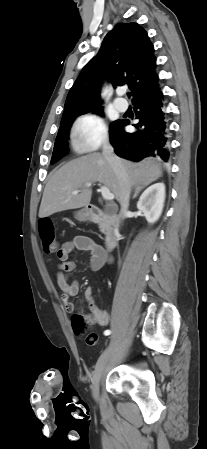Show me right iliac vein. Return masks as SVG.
Returning <instances> with one entry per match:
<instances>
[{"instance_id": "63e3f726", "label": "right iliac vein", "mask_w": 207, "mask_h": 449, "mask_svg": "<svg viewBox=\"0 0 207 449\" xmlns=\"http://www.w3.org/2000/svg\"><path fill=\"white\" fill-rule=\"evenodd\" d=\"M111 349H112V346L110 345L104 350V352L99 357V359L96 363V366H95V370H94L93 377H92V395L95 400H98V398H99V383H100L105 365L107 363V360L110 356Z\"/></svg>"}]
</instances>
